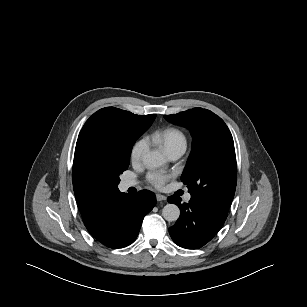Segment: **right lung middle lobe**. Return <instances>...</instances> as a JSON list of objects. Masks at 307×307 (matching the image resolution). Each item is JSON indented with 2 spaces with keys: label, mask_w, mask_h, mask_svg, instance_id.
I'll use <instances>...</instances> for the list:
<instances>
[{
  "label": "right lung middle lobe",
  "mask_w": 307,
  "mask_h": 307,
  "mask_svg": "<svg viewBox=\"0 0 307 307\" xmlns=\"http://www.w3.org/2000/svg\"><path fill=\"white\" fill-rule=\"evenodd\" d=\"M148 128L133 121L106 119L89 133L85 163L94 182L117 189L120 174L129 166L135 141Z\"/></svg>",
  "instance_id": "dd1d6c3e"
}]
</instances>
